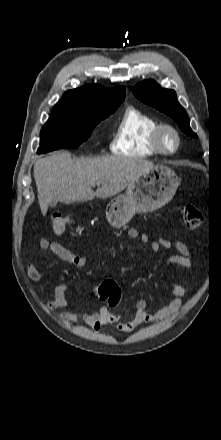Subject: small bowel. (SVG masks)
I'll return each instance as SVG.
<instances>
[{
	"label": "small bowel",
	"instance_id": "obj_1",
	"mask_svg": "<svg viewBox=\"0 0 221 440\" xmlns=\"http://www.w3.org/2000/svg\"><path fill=\"white\" fill-rule=\"evenodd\" d=\"M128 236L131 239L139 238L143 243L148 242L147 235L145 233H140L136 228L129 229ZM38 248L41 250H50L58 258L64 262L72 264L76 268H84L89 262L88 257L75 254L56 241L42 239L38 243ZM162 248L166 250L175 248L177 250V253L171 254L168 258L167 265L169 267L178 266L185 269L192 268L193 264L190 259L191 252L183 242H170L160 238L151 243V249L153 252H158ZM130 255L132 256V254ZM27 273L33 281H40L42 279L40 271L33 262L27 265ZM69 291L70 286L68 284H58L54 289V299L47 303V309L57 310L67 308L68 303L66 296ZM187 294V290L181 284L172 282L171 288L168 292L170 302L167 305L163 306L156 312H148V303L145 300H139L134 305L132 317L124 322H119L121 315L116 312L112 313L110 311L111 309H108L107 306H103L99 309V311L92 313L81 311H65L60 314V317L69 323L82 321L94 331H99L102 327L109 324H116L117 331L122 333H130L142 324L161 321L178 312L182 305L183 299L187 296Z\"/></svg>",
	"mask_w": 221,
	"mask_h": 440
}]
</instances>
